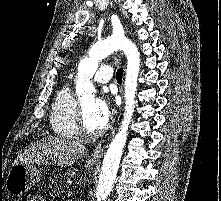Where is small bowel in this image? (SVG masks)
<instances>
[{"mask_svg": "<svg viewBox=\"0 0 221 201\" xmlns=\"http://www.w3.org/2000/svg\"><path fill=\"white\" fill-rule=\"evenodd\" d=\"M30 201H44V200L40 197H34Z\"/></svg>", "mask_w": 221, "mask_h": 201, "instance_id": "obj_1", "label": "small bowel"}]
</instances>
